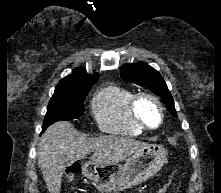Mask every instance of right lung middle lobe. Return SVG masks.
Instances as JSON below:
<instances>
[{
    "label": "right lung middle lobe",
    "mask_w": 221,
    "mask_h": 193,
    "mask_svg": "<svg viewBox=\"0 0 221 193\" xmlns=\"http://www.w3.org/2000/svg\"><path fill=\"white\" fill-rule=\"evenodd\" d=\"M92 85L55 90L47 107L42 131L60 120H71L84 113V99Z\"/></svg>",
    "instance_id": "obj_1"
}]
</instances>
